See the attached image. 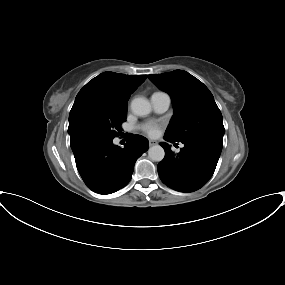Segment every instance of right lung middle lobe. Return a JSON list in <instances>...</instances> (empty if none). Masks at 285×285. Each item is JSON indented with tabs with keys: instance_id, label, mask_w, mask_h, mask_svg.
I'll return each instance as SVG.
<instances>
[{
	"instance_id": "1",
	"label": "right lung middle lobe",
	"mask_w": 285,
	"mask_h": 285,
	"mask_svg": "<svg viewBox=\"0 0 285 285\" xmlns=\"http://www.w3.org/2000/svg\"><path fill=\"white\" fill-rule=\"evenodd\" d=\"M127 110L108 107H85L70 122L71 146L85 140H113L121 132Z\"/></svg>"
}]
</instances>
